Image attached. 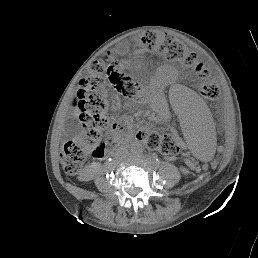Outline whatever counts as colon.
Returning <instances> with one entry per match:
<instances>
[{"instance_id": "5ec220e1", "label": "colon", "mask_w": 258, "mask_h": 258, "mask_svg": "<svg viewBox=\"0 0 258 258\" xmlns=\"http://www.w3.org/2000/svg\"><path fill=\"white\" fill-rule=\"evenodd\" d=\"M141 47L147 50L161 49L171 60L181 61L185 65H194L195 72L201 80L200 93L207 99H216L219 87L210 77L208 69L202 63H196V56L185 51L180 42L168 34L145 32L138 38ZM111 84L123 96H130L137 87L136 82L123 73L114 58L108 54L91 63L89 71L81 80L75 100L80 111L83 136L80 141L68 142L62 151V164L69 174L76 173L82 166L87 152L103 153L112 143L104 136L109 126L106 116L107 86ZM141 140L150 149L163 155H176L180 151L178 141L157 130L140 129Z\"/></svg>"}]
</instances>
